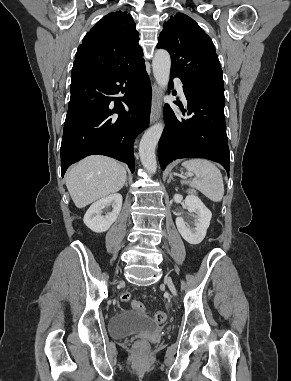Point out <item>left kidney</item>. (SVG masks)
I'll return each instance as SVG.
<instances>
[{
	"mask_svg": "<svg viewBox=\"0 0 291 381\" xmlns=\"http://www.w3.org/2000/svg\"><path fill=\"white\" fill-rule=\"evenodd\" d=\"M174 201L176 203H181L183 201V196L175 194ZM184 202L190 213H196L194 227H190L182 217L176 218V226L185 241L189 244L197 245L201 243L206 236L212 213L195 195H188Z\"/></svg>",
	"mask_w": 291,
	"mask_h": 381,
	"instance_id": "left-kidney-1",
	"label": "left kidney"
}]
</instances>
